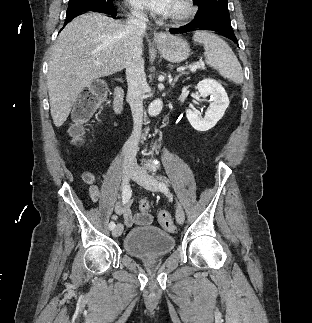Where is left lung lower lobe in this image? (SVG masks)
<instances>
[{
    "label": "left lung lower lobe",
    "instance_id": "left-lung-lower-lobe-1",
    "mask_svg": "<svg viewBox=\"0 0 312 323\" xmlns=\"http://www.w3.org/2000/svg\"><path fill=\"white\" fill-rule=\"evenodd\" d=\"M194 30L215 31L218 34L224 37H227L238 44V40L231 27L230 18L217 17V18L209 19L199 23L190 22L189 24L182 26L180 28H171L170 32L173 34H176V33H187Z\"/></svg>",
    "mask_w": 312,
    "mask_h": 323
}]
</instances>
